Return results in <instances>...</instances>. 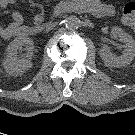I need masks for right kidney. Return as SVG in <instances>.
Listing matches in <instances>:
<instances>
[{
	"mask_svg": "<svg viewBox=\"0 0 135 135\" xmlns=\"http://www.w3.org/2000/svg\"><path fill=\"white\" fill-rule=\"evenodd\" d=\"M22 46H26L27 54L18 58V50H21ZM33 47V41L29 37L20 36L12 40L6 49V58L3 62L5 71L11 76H17L30 69Z\"/></svg>",
	"mask_w": 135,
	"mask_h": 135,
	"instance_id": "obj_1",
	"label": "right kidney"
}]
</instances>
